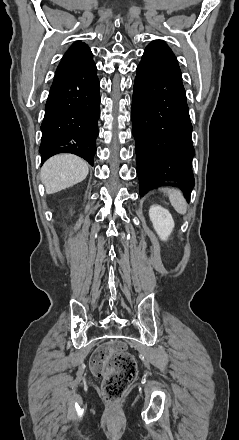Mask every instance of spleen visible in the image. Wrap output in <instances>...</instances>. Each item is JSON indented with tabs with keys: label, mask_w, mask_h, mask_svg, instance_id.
Returning <instances> with one entry per match:
<instances>
[{
	"label": "spleen",
	"mask_w": 239,
	"mask_h": 440,
	"mask_svg": "<svg viewBox=\"0 0 239 440\" xmlns=\"http://www.w3.org/2000/svg\"><path fill=\"white\" fill-rule=\"evenodd\" d=\"M165 196H168L173 208H175L178 214H186L187 202L181 192V190H175V188H161Z\"/></svg>",
	"instance_id": "obj_1"
}]
</instances>
